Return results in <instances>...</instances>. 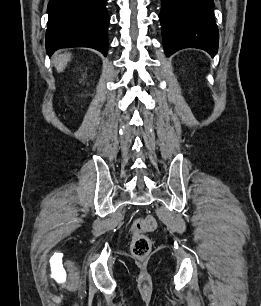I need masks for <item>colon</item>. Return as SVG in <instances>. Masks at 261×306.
I'll use <instances>...</instances> for the list:
<instances>
[{"instance_id":"colon-1","label":"colon","mask_w":261,"mask_h":306,"mask_svg":"<svg viewBox=\"0 0 261 306\" xmlns=\"http://www.w3.org/2000/svg\"><path fill=\"white\" fill-rule=\"evenodd\" d=\"M157 227L156 219L152 215L134 220L131 226V253L136 258L146 257L151 250V240L146 235Z\"/></svg>"}]
</instances>
